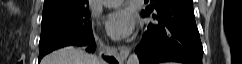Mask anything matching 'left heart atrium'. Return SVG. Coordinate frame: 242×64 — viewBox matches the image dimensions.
<instances>
[{"label":"left heart atrium","mask_w":242,"mask_h":64,"mask_svg":"<svg viewBox=\"0 0 242 64\" xmlns=\"http://www.w3.org/2000/svg\"><path fill=\"white\" fill-rule=\"evenodd\" d=\"M106 27L115 39L128 37L134 29V16L128 9H119L108 16Z\"/></svg>","instance_id":"39dd6f15"}]
</instances>
